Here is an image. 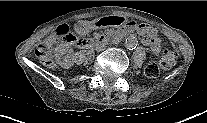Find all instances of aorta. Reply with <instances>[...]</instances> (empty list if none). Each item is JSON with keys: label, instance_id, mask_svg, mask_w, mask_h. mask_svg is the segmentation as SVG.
Here are the masks:
<instances>
[{"label": "aorta", "instance_id": "obj_1", "mask_svg": "<svg viewBox=\"0 0 207 123\" xmlns=\"http://www.w3.org/2000/svg\"><path fill=\"white\" fill-rule=\"evenodd\" d=\"M124 45L128 49H133L137 45V39L135 36L131 35L125 39Z\"/></svg>", "mask_w": 207, "mask_h": 123}]
</instances>
